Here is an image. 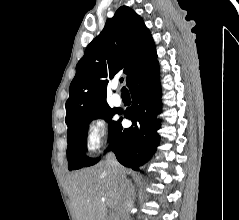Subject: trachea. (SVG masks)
Wrapping results in <instances>:
<instances>
[{"label": "trachea", "mask_w": 239, "mask_h": 220, "mask_svg": "<svg viewBox=\"0 0 239 220\" xmlns=\"http://www.w3.org/2000/svg\"><path fill=\"white\" fill-rule=\"evenodd\" d=\"M123 81H124V79H123V78H121V79H120V83H123ZM122 90H124V91H125V90H127V89H126L125 87H123V88H122Z\"/></svg>", "instance_id": "trachea-1"}]
</instances>
